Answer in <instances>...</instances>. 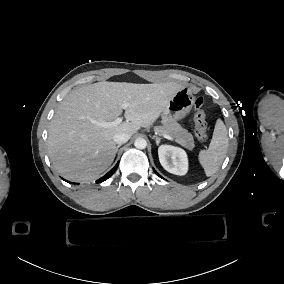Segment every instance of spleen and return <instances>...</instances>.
Listing matches in <instances>:
<instances>
[{"label":"spleen","instance_id":"3e777b00","mask_svg":"<svg viewBox=\"0 0 284 284\" xmlns=\"http://www.w3.org/2000/svg\"><path fill=\"white\" fill-rule=\"evenodd\" d=\"M228 132L221 119H217L208 149L199 153V161L206 176H212L223 163L228 150Z\"/></svg>","mask_w":284,"mask_h":284}]
</instances>
